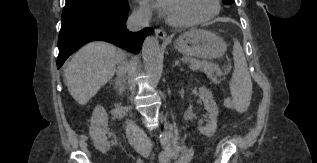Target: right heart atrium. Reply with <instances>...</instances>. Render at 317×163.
Wrapping results in <instances>:
<instances>
[{
    "label": "right heart atrium",
    "instance_id": "right-heart-atrium-1",
    "mask_svg": "<svg viewBox=\"0 0 317 163\" xmlns=\"http://www.w3.org/2000/svg\"><path fill=\"white\" fill-rule=\"evenodd\" d=\"M134 14L137 18L141 20H149L152 17V13L150 9L145 6H140L135 9Z\"/></svg>",
    "mask_w": 317,
    "mask_h": 163
}]
</instances>
